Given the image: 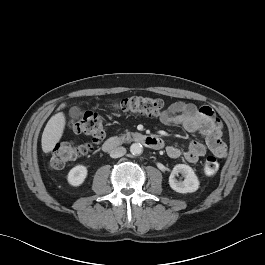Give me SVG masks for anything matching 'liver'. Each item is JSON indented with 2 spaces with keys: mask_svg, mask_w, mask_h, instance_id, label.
<instances>
[{
  "mask_svg": "<svg viewBox=\"0 0 265 265\" xmlns=\"http://www.w3.org/2000/svg\"><path fill=\"white\" fill-rule=\"evenodd\" d=\"M66 106L65 103H62L59 106V109H62ZM66 119L65 115L62 112H59L53 115L49 121L47 122L42 138H41V146L44 153H48L52 151L55 145L60 141L63 131L65 128Z\"/></svg>",
  "mask_w": 265,
  "mask_h": 265,
  "instance_id": "obj_1",
  "label": "liver"
}]
</instances>
